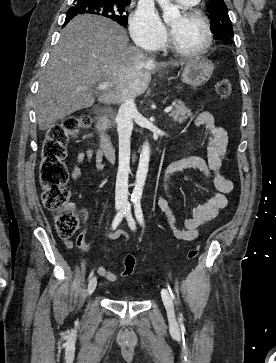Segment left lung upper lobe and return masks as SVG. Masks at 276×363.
Listing matches in <instances>:
<instances>
[{
  "instance_id": "5c2ea615",
  "label": "left lung upper lobe",
  "mask_w": 276,
  "mask_h": 363,
  "mask_svg": "<svg viewBox=\"0 0 276 363\" xmlns=\"http://www.w3.org/2000/svg\"><path fill=\"white\" fill-rule=\"evenodd\" d=\"M211 19V31L216 39L232 38L234 35L224 0H211L207 6Z\"/></svg>"
}]
</instances>
